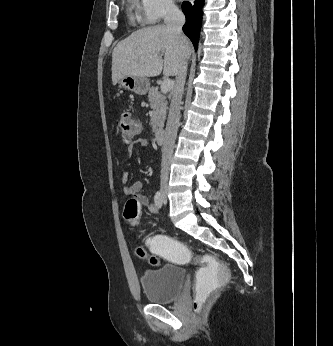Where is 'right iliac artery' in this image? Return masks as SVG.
<instances>
[{
  "instance_id": "right-iliac-artery-1",
  "label": "right iliac artery",
  "mask_w": 333,
  "mask_h": 346,
  "mask_svg": "<svg viewBox=\"0 0 333 346\" xmlns=\"http://www.w3.org/2000/svg\"><path fill=\"white\" fill-rule=\"evenodd\" d=\"M154 201H155V204L158 208H161L162 207V204H163V196H162V193L160 191H157L155 196H154Z\"/></svg>"
}]
</instances>
